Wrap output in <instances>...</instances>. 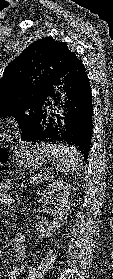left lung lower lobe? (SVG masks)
Segmentation results:
<instances>
[{"mask_svg":"<svg viewBox=\"0 0 113 279\" xmlns=\"http://www.w3.org/2000/svg\"><path fill=\"white\" fill-rule=\"evenodd\" d=\"M59 85L66 92L67 100L58 107ZM92 116L90 83L82 62L72 53L54 82L43 92L42 103L34 111L33 126L21 140L69 144L88 159Z\"/></svg>","mask_w":113,"mask_h":279,"instance_id":"obj_1","label":"left lung lower lobe"}]
</instances>
